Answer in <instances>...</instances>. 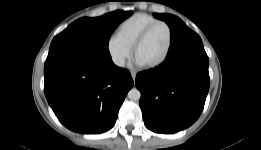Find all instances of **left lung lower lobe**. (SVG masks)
<instances>
[{
  "mask_svg": "<svg viewBox=\"0 0 261 150\" xmlns=\"http://www.w3.org/2000/svg\"><path fill=\"white\" fill-rule=\"evenodd\" d=\"M209 59L200 37L188 29L171 42L165 61L138 73L145 126L156 133H175L200 116L209 90Z\"/></svg>",
  "mask_w": 261,
  "mask_h": 150,
  "instance_id": "left-lung-lower-lobe-1",
  "label": "left lung lower lobe"
}]
</instances>
